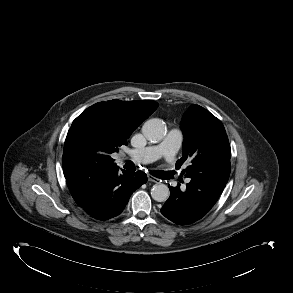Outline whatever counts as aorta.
<instances>
[{"label": "aorta", "mask_w": 293, "mask_h": 293, "mask_svg": "<svg viewBox=\"0 0 293 293\" xmlns=\"http://www.w3.org/2000/svg\"><path fill=\"white\" fill-rule=\"evenodd\" d=\"M142 133L149 141L159 142L166 134V125L161 119L153 118L144 123ZM169 195V188L165 184H157L151 189V196L157 202H165Z\"/></svg>", "instance_id": "762f6f07"}]
</instances>
